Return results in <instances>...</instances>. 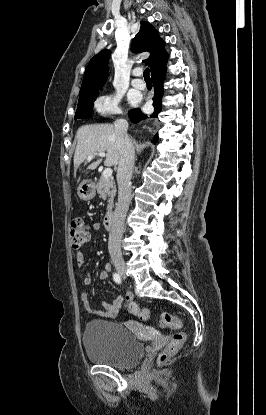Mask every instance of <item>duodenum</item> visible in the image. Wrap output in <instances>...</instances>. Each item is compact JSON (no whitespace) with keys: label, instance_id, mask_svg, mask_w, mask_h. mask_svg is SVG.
Returning a JSON list of instances; mask_svg holds the SVG:
<instances>
[{"label":"duodenum","instance_id":"1","mask_svg":"<svg viewBox=\"0 0 266 415\" xmlns=\"http://www.w3.org/2000/svg\"><path fill=\"white\" fill-rule=\"evenodd\" d=\"M104 227L107 230H111L114 226V214L112 212L107 213L103 220Z\"/></svg>","mask_w":266,"mask_h":415}]
</instances>
